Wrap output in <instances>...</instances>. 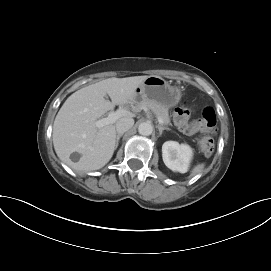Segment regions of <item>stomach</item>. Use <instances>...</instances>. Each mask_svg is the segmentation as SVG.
I'll list each match as a JSON object with an SVG mask.
<instances>
[{"label":"stomach","mask_w":271,"mask_h":271,"mask_svg":"<svg viewBox=\"0 0 271 271\" xmlns=\"http://www.w3.org/2000/svg\"><path fill=\"white\" fill-rule=\"evenodd\" d=\"M181 97L182 92L179 87L170 85L156 75L147 77L136 90V100L153 101L167 109L177 105Z\"/></svg>","instance_id":"obj_1"}]
</instances>
